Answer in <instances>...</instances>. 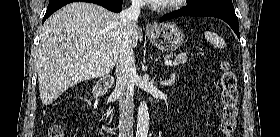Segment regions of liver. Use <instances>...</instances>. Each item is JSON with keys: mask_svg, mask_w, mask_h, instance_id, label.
Returning <instances> with one entry per match:
<instances>
[{"mask_svg": "<svg viewBox=\"0 0 280 137\" xmlns=\"http://www.w3.org/2000/svg\"><path fill=\"white\" fill-rule=\"evenodd\" d=\"M122 33L119 15L93 3L74 2L50 16L37 50L42 103L50 105L79 82L107 75L118 60ZM138 38L135 29L132 47Z\"/></svg>", "mask_w": 280, "mask_h": 137, "instance_id": "1", "label": "liver"}]
</instances>
